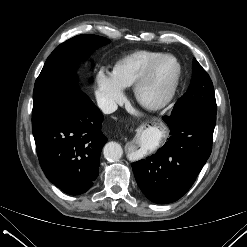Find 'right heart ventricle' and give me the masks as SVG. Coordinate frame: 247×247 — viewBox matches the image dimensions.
Masks as SVG:
<instances>
[{"label": "right heart ventricle", "instance_id": "e07e8e85", "mask_svg": "<svg viewBox=\"0 0 247 247\" xmlns=\"http://www.w3.org/2000/svg\"><path fill=\"white\" fill-rule=\"evenodd\" d=\"M162 53L156 51L139 50L123 56L113 66L112 75L123 87L135 84L148 65Z\"/></svg>", "mask_w": 247, "mask_h": 247}]
</instances>
